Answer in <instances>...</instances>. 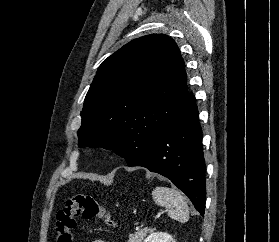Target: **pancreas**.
I'll use <instances>...</instances> for the list:
<instances>
[{
    "instance_id": "cf45deb5",
    "label": "pancreas",
    "mask_w": 279,
    "mask_h": 242,
    "mask_svg": "<svg viewBox=\"0 0 279 242\" xmlns=\"http://www.w3.org/2000/svg\"><path fill=\"white\" fill-rule=\"evenodd\" d=\"M148 229H141L134 234L129 235L128 242H142V240L146 237Z\"/></svg>"
}]
</instances>
